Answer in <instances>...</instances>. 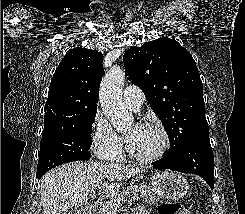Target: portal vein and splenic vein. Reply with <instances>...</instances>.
<instances>
[{
    "label": "portal vein and splenic vein",
    "instance_id": "obj_1",
    "mask_svg": "<svg viewBox=\"0 0 245 214\" xmlns=\"http://www.w3.org/2000/svg\"><path fill=\"white\" fill-rule=\"evenodd\" d=\"M96 195V191L95 190H92L91 192H90V196L91 197H94Z\"/></svg>",
    "mask_w": 245,
    "mask_h": 214
}]
</instances>
